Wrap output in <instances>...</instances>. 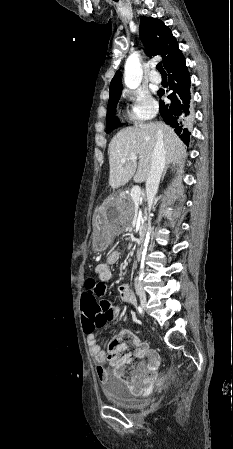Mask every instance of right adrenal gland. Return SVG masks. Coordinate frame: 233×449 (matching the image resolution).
Wrapping results in <instances>:
<instances>
[{"instance_id":"right-adrenal-gland-1","label":"right adrenal gland","mask_w":233,"mask_h":449,"mask_svg":"<svg viewBox=\"0 0 233 449\" xmlns=\"http://www.w3.org/2000/svg\"><path fill=\"white\" fill-rule=\"evenodd\" d=\"M176 163L179 164V163H181V162H180V161H177ZM166 170H167V167L165 168L164 173H163V175H162V180H163V178H164V176H165Z\"/></svg>"}]
</instances>
